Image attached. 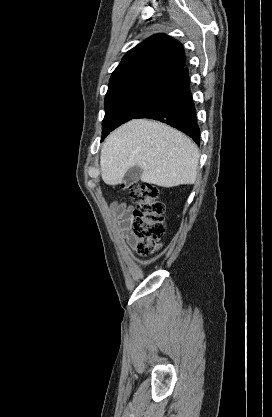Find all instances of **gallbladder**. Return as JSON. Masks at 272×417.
<instances>
[{
    "instance_id": "obj_1",
    "label": "gallbladder",
    "mask_w": 272,
    "mask_h": 417,
    "mask_svg": "<svg viewBox=\"0 0 272 417\" xmlns=\"http://www.w3.org/2000/svg\"><path fill=\"white\" fill-rule=\"evenodd\" d=\"M142 174V170L139 166L131 167L124 176V182L127 186H131L133 183L138 182Z\"/></svg>"
}]
</instances>
